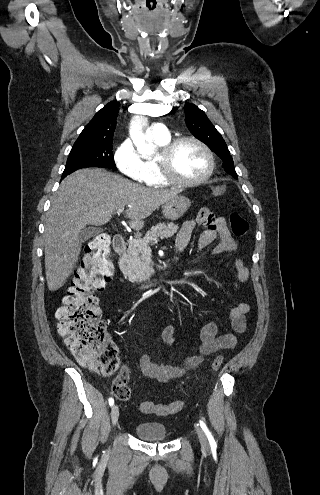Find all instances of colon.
<instances>
[{
	"label": "colon",
	"mask_w": 320,
	"mask_h": 495,
	"mask_svg": "<svg viewBox=\"0 0 320 495\" xmlns=\"http://www.w3.org/2000/svg\"><path fill=\"white\" fill-rule=\"evenodd\" d=\"M225 190L226 187L220 185L214 188V193L221 195ZM230 224L236 236H243L248 231V222L237 213L230 215ZM109 252V240L105 236L97 237L85 248L82 268L69 287L63 306L56 313L58 333L67 347L81 362L101 375H111L119 366L117 347L106 339L98 300L93 295L94 291L103 290L112 277L113 264ZM222 363L223 357L217 356L212 362V370L218 371ZM128 380L125 374H118L114 379L112 389L117 399H130ZM183 406L181 400L166 404L145 401L139 404V409L146 414L168 416L180 412Z\"/></svg>",
	"instance_id": "obj_1"
}]
</instances>
